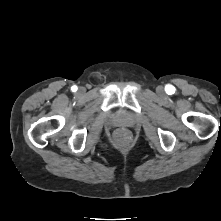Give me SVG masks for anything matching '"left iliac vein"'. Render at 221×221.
Listing matches in <instances>:
<instances>
[{
    "label": "left iliac vein",
    "instance_id": "1",
    "mask_svg": "<svg viewBox=\"0 0 221 221\" xmlns=\"http://www.w3.org/2000/svg\"><path fill=\"white\" fill-rule=\"evenodd\" d=\"M157 92L159 94H162L164 92L163 87H161V86L157 87Z\"/></svg>",
    "mask_w": 221,
    "mask_h": 221
}]
</instances>
